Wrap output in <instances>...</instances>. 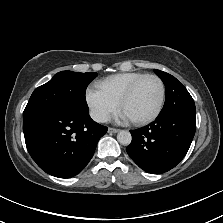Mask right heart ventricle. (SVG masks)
<instances>
[{"label":"right heart ventricle","instance_id":"right-heart-ventricle-1","mask_svg":"<svg viewBox=\"0 0 223 223\" xmlns=\"http://www.w3.org/2000/svg\"><path fill=\"white\" fill-rule=\"evenodd\" d=\"M145 75L142 72H122L111 75L99 82L113 98L119 100L138 79Z\"/></svg>","mask_w":223,"mask_h":223}]
</instances>
